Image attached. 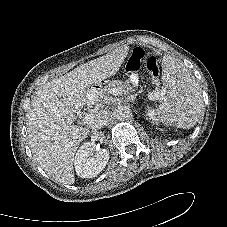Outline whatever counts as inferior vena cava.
Returning a JSON list of instances; mask_svg holds the SVG:
<instances>
[{
	"instance_id": "inferior-vena-cava-1",
	"label": "inferior vena cava",
	"mask_w": 227,
	"mask_h": 227,
	"mask_svg": "<svg viewBox=\"0 0 227 227\" xmlns=\"http://www.w3.org/2000/svg\"><path fill=\"white\" fill-rule=\"evenodd\" d=\"M108 119L109 114L107 111L105 110L99 111L96 115H93L91 120L88 122L89 127L92 130L101 129L108 123Z\"/></svg>"
}]
</instances>
